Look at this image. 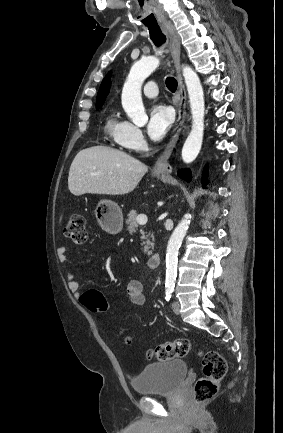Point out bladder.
Returning a JSON list of instances; mask_svg holds the SVG:
<instances>
[{
	"label": "bladder",
	"instance_id": "1",
	"mask_svg": "<svg viewBox=\"0 0 283 433\" xmlns=\"http://www.w3.org/2000/svg\"><path fill=\"white\" fill-rule=\"evenodd\" d=\"M188 371L182 360H167L147 365L132 379L136 393L175 392Z\"/></svg>",
	"mask_w": 283,
	"mask_h": 433
}]
</instances>
